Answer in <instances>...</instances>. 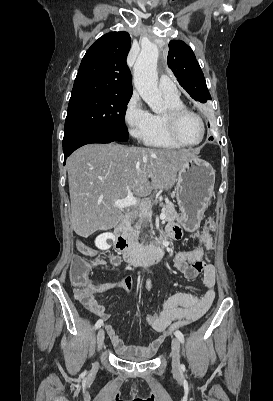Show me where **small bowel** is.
<instances>
[{"instance_id":"obj_1","label":"small bowel","mask_w":273,"mask_h":401,"mask_svg":"<svg viewBox=\"0 0 273 401\" xmlns=\"http://www.w3.org/2000/svg\"><path fill=\"white\" fill-rule=\"evenodd\" d=\"M204 221L206 225L197 234L198 246L191 250L178 251L172 258L174 267L185 278L194 280L200 277L204 290L200 294L190 292L173 293L165 299L159 313L145 316L148 325L160 335H166L175 328L198 320L208 311L215 299L216 269L213 264L206 262L204 259L206 252L213 247L212 232L214 230L215 217L206 215ZM183 235V228L174 226H169L163 233V237L166 239L179 238L183 237ZM80 251L96 267H111L118 270L122 263V257L118 254L109 253L107 259H103L99 256L98 251L87 246H81ZM103 284V291H99V287L103 286ZM115 284L122 285L129 294L134 291L128 277L120 278L115 282H104L103 279L98 278L95 284H87L85 290H77L74 302L75 304H83L93 315L102 321H106L110 314L98 302L97 296ZM104 328L115 350L123 355L134 354L148 357L153 353L156 345H163L165 342L163 336H156L154 339L156 345L154 343L145 346L127 345L111 324H106Z\"/></svg>"}]
</instances>
